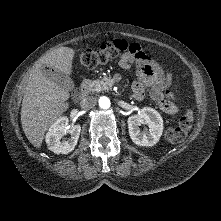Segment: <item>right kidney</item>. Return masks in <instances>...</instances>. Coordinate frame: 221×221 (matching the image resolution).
<instances>
[{
  "instance_id": "ca27d5eb",
  "label": "right kidney",
  "mask_w": 221,
  "mask_h": 221,
  "mask_svg": "<svg viewBox=\"0 0 221 221\" xmlns=\"http://www.w3.org/2000/svg\"><path fill=\"white\" fill-rule=\"evenodd\" d=\"M80 132V125H69L67 117H60L50 126L46 134L48 148L55 154H68L77 145ZM68 133L71 137L61 141L62 136Z\"/></svg>"
}]
</instances>
